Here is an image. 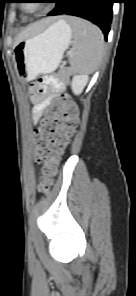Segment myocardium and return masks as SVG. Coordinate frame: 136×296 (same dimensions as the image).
Wrapping results in <instances>:
<instances>
[{
	"mask_svg": "<svg viewBox=\"0 0 136 296\" xmlns=\"http://www.w3.org/2000/svg\"><path fill=\"white\" fill-rule=\"evenodd\" d=\"M22 7H23V9H26V5L25 4H22ZM34 11H35V8L30 10V12H34Z\"/></svg>",
	"mask_w": 136,
	"mask_h": 296,
	"instance_id": "myocardium-1",
	"label": "myocardium"
}]
</instances>
